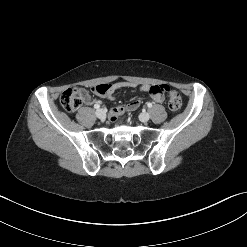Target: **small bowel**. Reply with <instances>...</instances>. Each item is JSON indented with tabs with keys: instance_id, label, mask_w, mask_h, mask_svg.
<instances>
[{
	"instance_id": "obj_1",
	"label": "small bowel",
	"mask_w": 247,
	"mask_h": 247,
	"mask_svg": "<svg viewBox=\"0 0 247 247\" xmlns=\"http://www.w3.org/2000/svg\"><path fill=\"white\" fill-rule=\"evenodd\" d=\"M155 85H149V84H137L135 82H118L114 84L109 85V89L106 94L102 96H106L112 101H115L119 98V94L117 93V90L123 87H138L141 92H146L150 90L151 87ZM90 98L88 94L86 95L85 102H89Z\"/></svg>"
}]
</instances>
